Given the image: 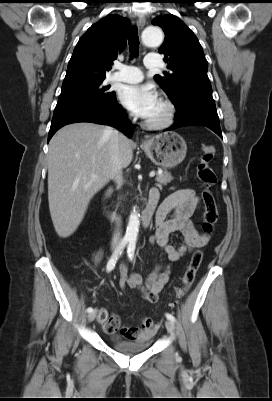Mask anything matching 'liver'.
Returning <instances> with one entry per match:
<instances>
[{"label":"liver","instance_id":"obj_1","mask_svg":"<svg viewBox=\"0 0 272 401\" xmlns=\"http://www.w3.org/2000/svg\"><path fill=\"white\" fill-rule=\"evenodd\" d=\"M108 127L73 123L51 139L48 152V202L57 234L72 235L83 220L91 198L111 179ZM133 159L132 142L120 140L123 168Z\"/></svg>","mask_w":272,"mask_h":401}]
</instances>
